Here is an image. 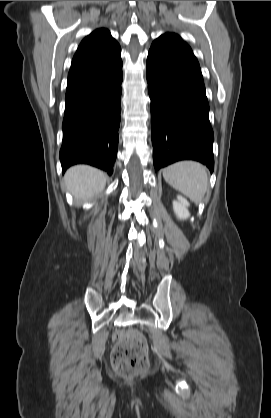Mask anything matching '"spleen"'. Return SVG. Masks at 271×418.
I'll list each match as a JSON object with an SVG mask.
<instances>
[{
  "mask_svg": "<svg viewBox=\"0 0 271 418\" xmlns=\"http://www.w3.org/2000/svg\"><path fill=\"white\" fill-rule=\"evenodd\" d=\"M165 181L194 203H200L208 189L205 166L195 161H180L163 169Z\"/></svg>",
  "mask_w": 271,
  "mask_h": 418,
  "instance_id": "1",
  "label": "spleen"
}]
</instances>
